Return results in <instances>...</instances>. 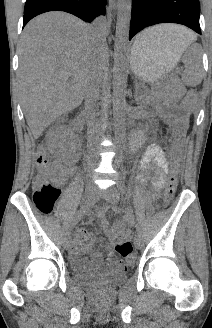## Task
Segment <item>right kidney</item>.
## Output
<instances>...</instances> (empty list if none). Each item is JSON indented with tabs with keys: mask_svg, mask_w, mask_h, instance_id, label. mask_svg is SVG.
Instances as JSON below:
<instances>
[{
	"mask_svg": "<svg viewBox=\"0 0 212 328\" xmlns=\"http://www.w3.org/2000/svg\"><path fill=\"white\" fill-rule=\"evenodd\" d=\"M60 128H61V125H60V123H59V124H57V125L55 126V131H58ZM64 136H65V135L62 134V133H60V132H58V134H57V137H58V138H63Z\"/></svg>",
	"mask_w": 212,
	"mask_h": 328,
	"instance_id": "1",
	"label": "right kidney"
}]
</instances>
